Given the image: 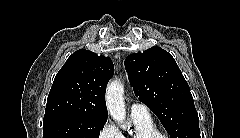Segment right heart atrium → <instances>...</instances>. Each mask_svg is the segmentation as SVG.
<instances>
[{"label":"right heart atrium","instance_id":"obj_1","mask_svg":"<svg viewBox=\"0 0 240 138\" xmlns=\"http://www.w3.org/2000/svg\"><path fill=\"white\" fill-rule=\"evenodd\" d=\"M98 137L99 138H121L119 130L110 120L105 121V123L101 126L98 133Z\"/></svg>","mask_w":240,"mask_h":138}]
</instances>
